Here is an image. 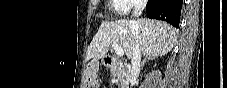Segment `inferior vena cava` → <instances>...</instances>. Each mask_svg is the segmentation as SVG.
<instances>
[{
    "mask_svg": "<svg viewBox=\"0 0 227 88\" xmlns=\"http://www.w3.org/2000/svg\"><path fill=\"white\" fill-rule=\"evenodd\" d=\"M146 6V2H140L135 5V11L133 15L135 17H139L142 14V11L144 10ZM133 36L135 39V44L133 47V53L131 58V71H130V78H131V84L133 85L134 78L139 74L140 72V62H141V48L138 41V33L133 31Z\"/></svg>",
    "mask_w": 227,
    "mask_h": 88,
    "instance_id": "602c4592",
    "label": "inferior vena cava"
}]
</instances>
